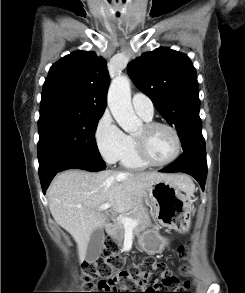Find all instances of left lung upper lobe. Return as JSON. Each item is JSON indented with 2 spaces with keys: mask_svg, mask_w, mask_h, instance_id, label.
I'll return each mask as SVG.
<instances>
[{
  "mask_svg": "<svg viewBox=\"0 0 245 293\" xmlns=\"http://www.w3.org/2000/svg\"><path fill=\"white\" fill-rule=\"evenodd\" d=\"M127 71L169 125L176 127L183 151L206 154L199 84L189 57L160 47L130 62Z\"/></svg>",
  "mask_w": 245,
  "mask_h": 293,
  "instance_id": "1",
  "label": "left lung upper lobe"
}]
</instances>
